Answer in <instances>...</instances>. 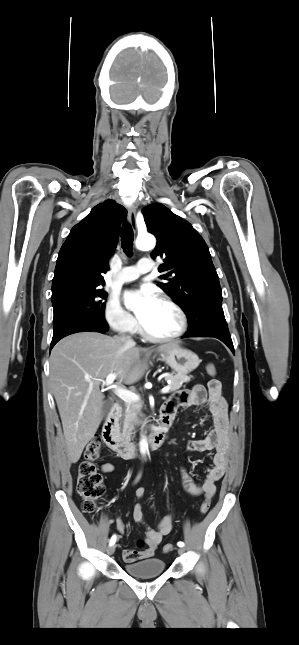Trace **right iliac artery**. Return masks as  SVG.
Masks as SVG:
<instances>
[{
  "mask_svg": "<svg viewBox=\"0 0 299 645\" xmlns=\"http://www.w3.org/2000/svg\"><path fill=\"white\" fill-rule=\"evenodd\" d=\"M116 542V536L113 535L110 539V545H113Z\"/></svg>",
  "mask_w": 299,
  "mask_h": 645,
  "instance_id": "82829eb1",
  "label": "right iliac artery"
}]
</instances>
